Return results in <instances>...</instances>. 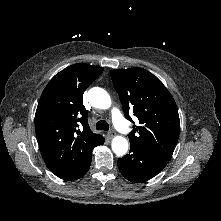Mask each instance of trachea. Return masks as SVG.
<instances>
[{
  "label": "trachea",
  "instance_id": "3493384b",
  "mask_svg": "<svg viewBox=\"0 0 221 221\" xmlns=\"http://www.w3.org/2000/svg\"><path fill=\"white\" fill-rule=\"evenodd\" d=\"M96 129L97 130L108 131L109 130V124L104 120H100L96 124Z\"/></svg>",
  "mask_w": 221,
  "mask_h": 221
}]
</instances>
